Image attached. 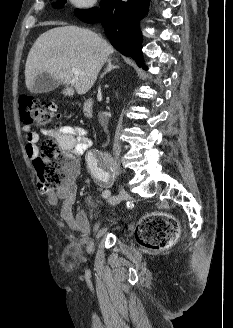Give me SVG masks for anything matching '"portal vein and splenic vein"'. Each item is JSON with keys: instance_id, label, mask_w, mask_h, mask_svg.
<instances>
[{"instance_id": "obj_1", "label": "portal vein and splenic vein", "mask_w": 233, "mask_h": 328, "mask_svg": "<svg viewBox=\"0 0 233 328\" xmlns=\"http://www.w3.org/2000/svg\"><path fill=\"white\" fill-rule=\"evenodd\" d=\"M72 72H73L75 75L83 74V72H82L81 69H79V68H72Z\"/></svg>"}]
</instances>
